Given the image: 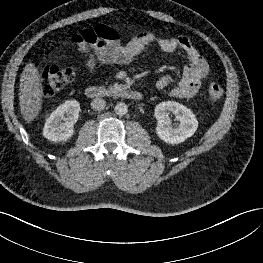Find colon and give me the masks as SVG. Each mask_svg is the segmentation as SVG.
I'll return each instance as SVG.
<instances>
[{
    "instance_id": "obj_1",
    "label": "colon",
    "mask_w": 263,
    "mask_h": 263,
    "mask_svg": "<svg viewBox=\"0 0 263 263\" xmlns=\"http://www.w3.org/2000/svg\"><path fill=\"white\" fill-rule=\"evenodd\" d=\"M75 76L71 67L48 66L41 73V92L45 96H52L61 91ZM224 90L217 83L209 85L207 97L210 102H218L222 99Z\"/></svg>"
}]
</instances>
